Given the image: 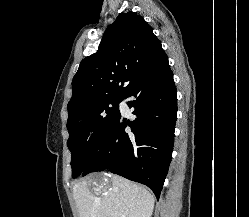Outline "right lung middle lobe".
Segmentation results:
<instances>
[{
  "mask_svg": "<svg viewBox=\"0 0 249 217\" xmlns=\"http://www.w3.org/2000/svg\"><path fill=\"white\" fill-rule=\"evenodd\" d=\"M124 97L93 102L69 115L67 146L71 151L72 177L80 176L88 158L97 149L120 116L119 103Z\"/></svg>",
  "mask_w": 249,
  "mask_h": 217,
  "instance_id": "dd1d6c3e",
  "label": "right lung middle lobe"
}]
</instances>
